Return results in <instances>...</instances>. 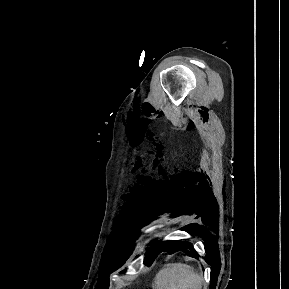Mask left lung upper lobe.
I'll use <instances>...</instances> for the list:
<instances>
[{"label": "left lung upper lobe", "mask_w": 289, "mask_h": 289, "mask_svg": "<svg viewBox=\"0 0 289 289\" xmlns=\"http://www.w3.org/2000/svg\"><path fill=\"white\" fill-rule=\"evenodd\" d=\"M165 244L166 243L157 244L156 242H153V246L146 254L145 261L149 264L152 263L157 255L162 252V249L166 246Z\"/></svg>", "instance_id": "left-lung-upper-lobe-1"}]
</instances>
